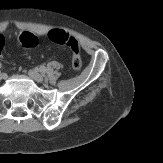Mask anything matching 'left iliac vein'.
Masks as SVG:
<instances>
[{
  "label": "left iliac vein",
  "instance_id": "obj_1",
  "mask_svg": "<svg viewBox=\"0 0 163 163\" xmlns=\"http://www.w3.org/2000/svg\"><path fill=\"white\" fill-rule=\"evenodd\" d=\"M28 75L30 78H32L33 80H35L37 82L43 81V76L41 74H39L36 70H30L28 72Z\"/></svg>",
  "mask_w": 163,
  "mask_h": 163
}]
</instances>
